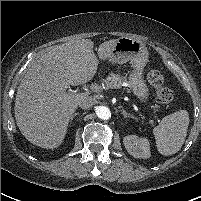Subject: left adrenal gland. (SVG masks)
Segmentation results:
<instances>
[{"label": "left adrenal gland", "mask_w": 201, "mask_h": 201, "mask_svg": "<svg viewBox=\"0 0 201 201\" xmlns=\"http://www.w3.org/2000/svg\"><path fill=\"white\" fill-rule=\"evenodd\" d=\"M121 111H122V115L124 116V118L130 117V118H133L136 121H138V119L135 116H133V114L127 113L124 109H122Z\"/></svg>", "instance_id": "left-adrenal-gland-1"}]
</instances>
